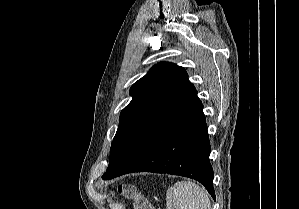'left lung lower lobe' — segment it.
<instances>
[{"label":"left lung lower lobe","mask_w":299,"mask_h":209,"mask_svg":"<svg viewBox=\"0 0 299 209\" xmlns=\"http://www.w3.org/2000/svg\"><path fill=\"white\" fill-rule=\"evenodd\" d=\"M209 154L203 105L190 83L132 135L102 178L143 171L181 175L202 183L215 199Z\"/></svg>","instance_id":"left-lung-lower-lobe-1"}]
</instances>
